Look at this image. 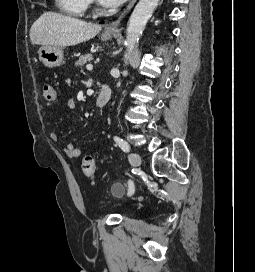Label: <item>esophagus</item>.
<instances>
[{"label": "esophagus", "mask_w": 255, "mask_h": 272, "mask_svg": "<svg viewBox=\"0 0 255 272\" xmlns=\"http://www.w3.org/2000/svg\"><path fill=\"white\" fill-rule=\"evenodd\" d=\"M137 0H131L128 6L124 9V11L120 14L118 19L114 21L110 26L106 28V32L114 33L118 32V24L119 22L127 15V13L131 10Z\"/></svg>", "instance_id": "34e87169"}]
</instances>
